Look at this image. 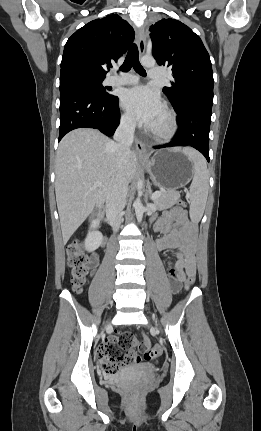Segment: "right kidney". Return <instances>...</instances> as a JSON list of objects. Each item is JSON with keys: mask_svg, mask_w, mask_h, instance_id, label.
Masks as SVG:
<instances>
[{"mask_svg": "<svg viewBox=\"0 0 261 431\" xmlns=\"http://www.w3.org/2000/svg\"><path fill=\"white\" fill-rule=\"evenodd\" d=\"M103 236L99 231L90 232L85 239V248L87 251L92 252L100 246Z\"/></svg>", "mask_w": 261, "mask_h": 431, "instance_id": "ca27d5eb", "label": "right kidney"}]
</instances>
